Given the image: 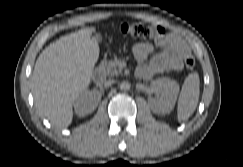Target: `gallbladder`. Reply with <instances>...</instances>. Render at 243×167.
<instances>
[{"instance_id":"gallbladder-1","label":"gallbladder","mask_w":243,"mask_h":167,"mask_svg":"<svg viewBox=\"0 0 243 167\" xmlns=\"http://www.w3.org/2000/svg\"><path fill=\"white\" fill-rule=\"evenodd\" d=\"M95 40L97 41V43L102 41V36L100 33H96L94 36Z\"/></svg>"}]
</instances>
